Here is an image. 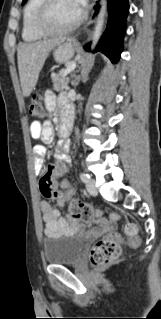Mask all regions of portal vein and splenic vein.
<instances>
[{"mask_svg":"<svg viewBox=\"0 0 161 319\" xmlns=\"http://www.w3.org/2000/svg\"><path fill=\"white\" fill-rule=\"evenodd\" d=\"M76 67V64L73 63L70 66H68L65 70H64V76L68 75L69 73H71Z\"/></svg>","mask_w":161,"mask_h":319,"instance_id":"1","label":"portal vein and splenic vein"}]
</instances>
